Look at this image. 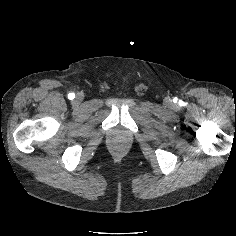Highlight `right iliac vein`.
<instances>
[{
  "instance_id": "63e3f726",
  "label": "right iliac vein",
  "mask_w": 236,
  "mask_h": 236,
  "mask_svg": "<svg viewBox=\"0 0 236 236\" xmlns=\"http://www.w3.org/2000/svg\"><path fill=\"white\" fill-rule=\"evenodd\" d=\"M77 100H81V96L80 95L77 96Z\"/></svg>"
}]
</instances>
